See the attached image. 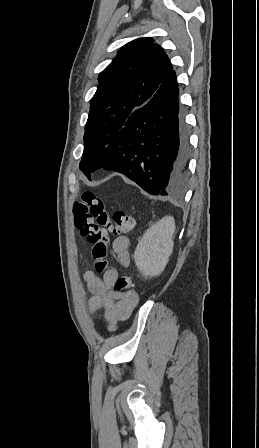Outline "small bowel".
Masks as SVG:
<instances>
[{
	"label": "small bowel",
	"mask_w": 259,
	"mask_h": 448,
	"mask_svg": "<svg viewBox=\"0 0 259 448\" xmlns=\"http://www.w3.org/2000/svg\"><path fill=\"white\" fill-rule=\"evenodd\" d=\"M129 248L130 239L126 236H119L112 243V249L121 267H128L131 263ZM117 278L118 271L115 268L107 269L102 278H99L94 271H88L85 274V281L92 293L88 304L89 311L93 314L103 309L110 332L115 331L119 322L130 317L138 302L135 292L115 290L114 283Z\"/></svg>",
	"instance_id": "small-bowel-1"
}]
</instances>
